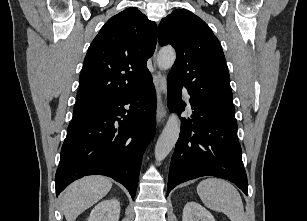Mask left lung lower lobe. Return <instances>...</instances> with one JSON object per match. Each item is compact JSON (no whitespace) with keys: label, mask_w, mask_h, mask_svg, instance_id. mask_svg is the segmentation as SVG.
Listing matches in <instances>:
<instances>
[{"label":"left lung lower lobe","mask_w":307,"mask_h":221,"mask_svg":"<svg viewBox=\"0 0 307 221\" xmlns=\"http://www.w3.org/2000/svg\"><path fill=\"white\" fill-rule=\"evenodd\" d=\"M181 84L167 78L168 106L180 115L185 103ZM192 120L182 119L180 137L172 156L167 194L178 184L211 175L230 180L248 194L247 175L237 137V122L190 98Z\"/></svg>","instance_id":"obj_1"}]
</instances>
